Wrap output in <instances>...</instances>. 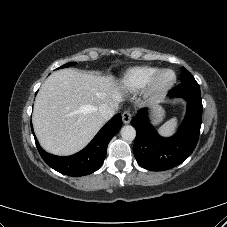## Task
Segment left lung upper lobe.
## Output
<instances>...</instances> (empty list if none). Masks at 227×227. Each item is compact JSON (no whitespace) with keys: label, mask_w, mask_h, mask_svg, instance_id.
<instances>
[{"label":"left lung upper lobe","mask_w":227,"mask_h":227,"mask_svg":"<svg viewBox=\"0 0 227 227\" xmlns=\"http://www.w3.org/2000/svg\"><path fill=\"white\" fill-rule=\"evenodd\" d=\"M194 78L192 74L186 70L184 67H182V74H181V81H184L186 79Z\"/></svg>","instance_id":"left-lung-upper-lobe-1"}]
</instances>
